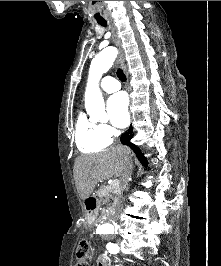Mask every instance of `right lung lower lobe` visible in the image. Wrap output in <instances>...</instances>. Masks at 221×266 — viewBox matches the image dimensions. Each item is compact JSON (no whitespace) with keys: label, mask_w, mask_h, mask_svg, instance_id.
I'll list each match as a JSON object with an SVG mask.
<instances>
[{"label":"right lung lower lobe","mask_w":221,"mask_h":266,"mask_svg":"<svg viewBox=\"0 0 221 266\" xmlns=\"http://www.w3.org/2000/svg\"><path fill=\"white\" fill-rule=\"evenodd\" d=\"M133 137V128L130 127L128 132H126L125 134H123L121 136V143L124 145L129 146L134 153L136 154L137 158L139 159V161L146 166L147 165V161L146 158L143 156V154L141 153L140 149L134 145L133 143H131V138Z\"/></svg>","instance_id":"obj_1"}]
</instances>
